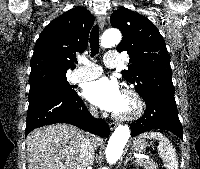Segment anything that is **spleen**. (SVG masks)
Wrapping results in <instances>:
<instances>
[{
  "label": "spleen",
  "mask_w": 200,
  "mask_h": 169,
  "mask_svg": "<svg viewBox=\"0 0 200 169\" xmlns=\"http://www.w3.org/2000/svg\"><path fill=\"white\" fill-rule=\"evenodd\" d=\"M141 137L158 140L159 145L157 149L167 169H178V157L176 154V150L174 149L170 141L162 133L146 132L143 133Z\"/></svg>",
  "instance_id": "3e777b00"
}]
</instances>
